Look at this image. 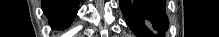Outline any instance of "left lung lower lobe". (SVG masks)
Returning a JSON list of instances; mask_svg holds the SVG:
<instances>
[{"mask_svg":"<svg viewBox=\"0 0 219 37\" xmlns=\"http://www.w3.org/2000/svg\"><path fill=\"white\" fill-rule=\"evenodd\" d=\"M127 24L138 37H164L168 29L165 0H120Z\"/></svg>","mask_w":219,"mask_h":37,"instance_id":"left-lung-lower-lobe-1","label":"left lung lower lobe"}]
</instances>
